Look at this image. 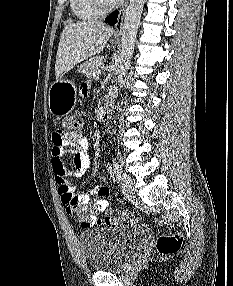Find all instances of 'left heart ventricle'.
<instances>
[{"mask_svg": "<svg viewBox=\"0 0 233 286\" xmlns=\"http://www.w3.org/2000/svg\"><path fill=\"white\" fill-rule=\"evenodd\" d=\"M106 1H108V2H113L112 0H106Z\"/></svg>", "mask_w": 233, "mask_h": 286, "instance_id": "left-heart-ventricle-1", "label": "left heart ventricle"}]
</instances>
